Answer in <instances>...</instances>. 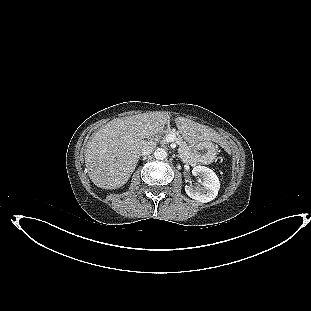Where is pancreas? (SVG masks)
Wrapping results in <instances>:
<instances>
[{
  "mask_svg": "<svg viewBox=\"0 0 311 311\" xmlns=\"http://www.w3.org/2000/svg\"><path fill=\"white\" fill-rule=\"evenodd\" d=\"M164 133H165V138L163 139V141H165L166 136H168L170 134H174L176 136V143L179 145V154L184 156L187 163L193 164V163L198 161L197 157L192 152V149L183 140L181 135H179L178 131H176L174 129H172V130L168 129V130H165ZM155 140L159 141L160 138L158 136H156Z\"/></svg>",
  "mask_w": 311,
  "mask_h": 311,
  "instance_id": "obj_1",
  "label": "pancreas"
}]
</instances>
